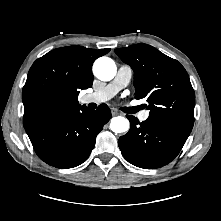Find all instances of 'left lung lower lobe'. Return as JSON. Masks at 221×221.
Returning <instances> with one entry per match:
<instances>
[{"label":"left lung lower lobe","instance_id":"left-lung-lower-lobe-1","mask_svg":"<svg viewBox=\"0 0 221 221\" xmlns=\"http://www.w3.org/2000/svg\"><path fill=\"white\" fill-rule=\"evenodd\" d=\"M130 130L118 141L124 158L145 169H155L171 162L181 151L190 132L148 118L139 123L134 116H126Z\"/></svg>","mask_w":221,"mask_h":221}]
</instances>
